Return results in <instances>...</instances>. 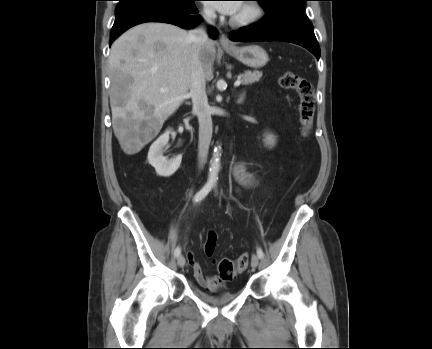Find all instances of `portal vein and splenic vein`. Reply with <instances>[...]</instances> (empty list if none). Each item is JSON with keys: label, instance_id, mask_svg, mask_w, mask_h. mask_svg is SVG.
I'll use <instances>...</instances> for the list:
<instances>
[{"label": "portal vein and splenic vein", "instance_id": "portal-vein-and-splenic-vein-1", "mask_svg": "<svg viewBox=\"0 0 432 349\" xmlns=\"http://www.w3.org/2000/svg\"><path fill=\"white\" fill-rule=\"evenodd\" d=\"M241 84V79H237L234 83L235 87H238ZM163 91V90H162Z\"/></svg>", "mask_w": 432, "mask_h": 349}]
</instances>
